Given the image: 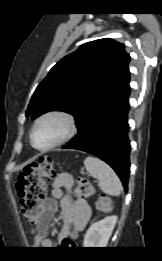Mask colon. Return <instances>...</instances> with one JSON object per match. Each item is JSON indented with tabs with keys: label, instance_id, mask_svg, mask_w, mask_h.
Segmentation results:
<instances>
[{
	"label": "colon",
	"instance_id": "colon-1",
	"mask_svg": "<svg viewBox=\"0 0 162 261\" xmlns=\"http://www.w3.org/2000/svg\"><path fill=\"white\" fill-rule=\"evenodd\" d=\"M54 178L52 162L49 157H41L38 162L27 166L19 175L16 188L20 200V210L28 223L37 224L41 218L40 202L47 186ZM97 194L96 187L86 178L80 176L76 180L75 197L79 200L89 199ZM96 207L101 212L112 209L111 199L102 195ZM72 244L70 239L63 241V246Z\"/></svg>",
	"mask_w": 162,
	"mask_h": 261
}]
</instances>
